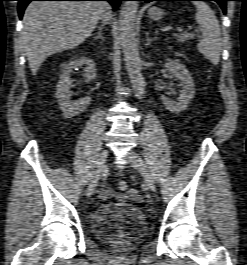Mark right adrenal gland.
Wrapping results in <instances>:
<instances>
[{"label":"right adrenal gland","mask_w":247,"mask_h":265,"mask_svg":"<svg viewBox=\"0 0 247 265\" xmlns=\"http://www.w3.org/2000/svg\"><path fill=\"white\" fill-rule=\"evenodd\" d=\"M102 30H103V25L99 27V32L98 35L95 37V39H101L102 41H104V38L102 36Z\"/></svg>","instance_id":"2a0ac1e0"}]
</instances>
